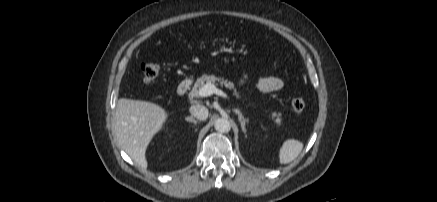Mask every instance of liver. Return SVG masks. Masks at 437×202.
I'll use <instances>...</instances> for the list:
<instances>
[{"mask_svg": "<svg viewBox=\"0 0 437 202\" xmlns=\"http://www.w3.org/2000/svg\"><path fill=\"white\" fill-rule=\"evenodd\" d=\"M168 115L164 108L152 102L125 98L117 101L116 138L122 149L142 168L147 167L146 149Z\"/></svg>", "mask_w": 437, "mask_h": 202, "instance_id": "liver-1", "label": "liver"}]
</instances>
